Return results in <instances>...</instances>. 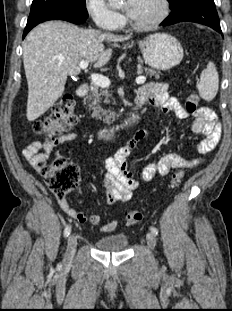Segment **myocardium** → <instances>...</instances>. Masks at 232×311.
Here are the masks:
<instances>
[{"label": "myocardium", "mask_w": 232, "mask_h": 311, "mask_svg": "<svg viewBox=\"0 0 232 311\" xmlns=\"http://www.w3.org/2000/svg\"><path fill=\"white\" fill-rule=\"evenodd\" d=\"M157 2L159 4V11L154 19L144 24H138L133 22L131 18H128L127 22L129 26L132 29L140 32L151 31L158 27L166 19L169 13V4L168 0H157Z\"/></svg>", "instance_id": "myocardium-1"}]
</instances>
